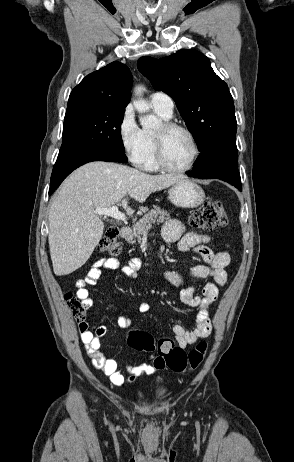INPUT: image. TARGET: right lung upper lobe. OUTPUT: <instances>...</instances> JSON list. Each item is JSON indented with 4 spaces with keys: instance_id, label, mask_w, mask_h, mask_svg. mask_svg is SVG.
<instances>
[{
    "instance_id": "1",
    "label": "right lung upper lobe",
    "mask_w": 294,
    "mask_h": 462,
    "mask_svg": "<svg viewBox=\"0 0 294 462\" xmlns=\"http://www.w3.org/2000/svg\"><path fill=\"white\" fill-rule=\"evenodd\" d=\"M132 83L129 68L114 61L87 75L72 90L68 106L100 104L126 107L131 98Z\"/></svg>"
}]
</instances>
